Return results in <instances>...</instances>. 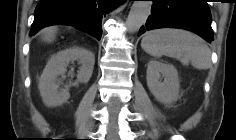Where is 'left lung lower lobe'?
I'll list each match as a JSON object with an SVG mask.
<instances>
[{"label":"left lung lower lobe","instance_id":"0a47b994","mask_svg":"<svg viewBox=\"0 0 236 140\" xmlns=\"http://www.w3.org/2000/svg\"><path fill=\"white\" fill-rule=\"evenodd\" d=\"M158 28H182L213 41L207 0H153L151 15L139 35Z\"/></svg>","mask_w":236,"mask_h":140}]
</instances>
